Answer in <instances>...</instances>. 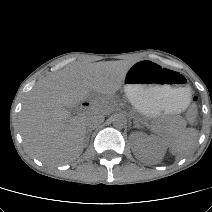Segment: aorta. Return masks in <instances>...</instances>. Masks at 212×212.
Wrapping results in <instances>:
<instances>
[{
  "label": "aorta",
  "instance_id": "obj_1",
  "mask_svg": "<svg viewBox=\"0 0 212 212\" xmlns=\"http://www.w3.org/2000/svg\"><path fill=\"white\" fill-rule=\"evenodd\" d=\"M112 122L114 127L123 128L126 125L127 120L124 115L116 114L114 115Z\"/></svg>",
  "mask_w": 212,
  "mask_h": 212
}]
</instances>
